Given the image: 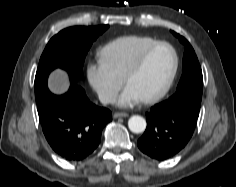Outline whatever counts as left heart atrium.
<instances>
[{"instance_id": "39dd6f15", "label": "left heart atrium", "mask_w": 236, "mask_h": 187, "mask_svg": "<svg viewBox=\"0 0 236 187\" xmlns=\"http://www.w3.org/2000/svg\"><path fill=\"white\" fill-rule=\"evenodd\" d=\"M140 100L139 96L128 86L124 89L123 93L121 94L119 98V105L120 106H131L134 103L138 102Z\"/></svg>"}]
</instances>
